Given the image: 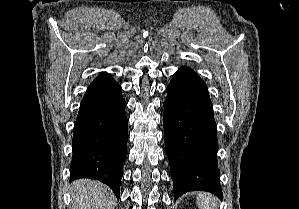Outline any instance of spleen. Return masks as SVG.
Instances as JSON below:
<instances>
[{"mask_svg":"<svg viewBox=\"0 0 299 209\" xmlns=\"http://www.w3.org/2000/svg\"><path fill=\"white\" fill-rule=\"evenodd\" d=\"M216 197L208 192H201L196 197L199 209H217Z\"/></svg>","mask_w":299,"mask_h":209,"instance_id":"obj_1","label":"spleen"}]
</instances>
